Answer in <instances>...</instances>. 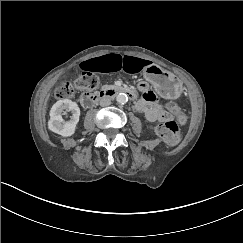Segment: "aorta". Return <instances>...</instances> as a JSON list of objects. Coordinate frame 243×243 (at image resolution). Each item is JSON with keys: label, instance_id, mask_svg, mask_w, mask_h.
<instances>
[{"label": "aorta", "instance_id": "aorta-1", "mask_svg": "<svg viewBox=\"0 0 243 243\" xmlns=\"http://www.w3.org/2000/svg\"><path fill=\"white\" fill-rule=\"evenodd\" d=\"M127 95L125 93H119L117 96H116V101L120 104H124L127 102Z\"/></svg>", "mask_w": 243, "mask_h": 243}]
</instances>
